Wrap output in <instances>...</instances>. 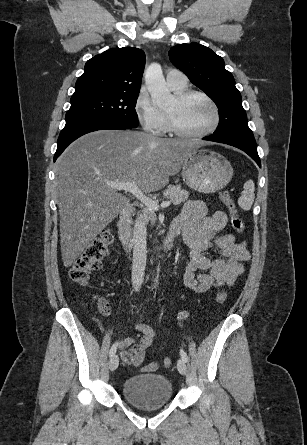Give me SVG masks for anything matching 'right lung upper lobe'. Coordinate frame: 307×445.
<instances>
[{
  "label": "right lung upper lobe",
  "instance_id": "obj_1",
  "mask_svg": "<svg viewBox=\"0 0 307 445\" xmlns=\"http://www.w3.org/2000/svg\"><path fill=\"white\" fill-rule=\"evenodd\" d=\"M144 66L145 54L141 49H109L86 62L73 96L139 94Z\"/></svg>",
  "mask_w": 307,
  "mask_h": 445
}]
</instances>
